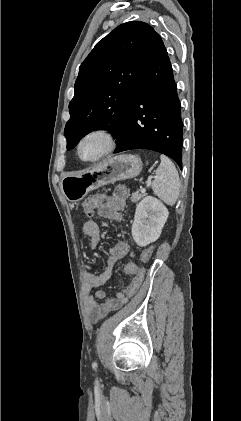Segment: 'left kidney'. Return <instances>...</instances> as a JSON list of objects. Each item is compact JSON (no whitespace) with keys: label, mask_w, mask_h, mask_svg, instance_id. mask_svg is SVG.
<instances>
[{"label":"left kidney","mask_w":241,"mask_h":421,"mask_svg":"<svg viewBox=\"0 0 241 421\" xmlns=\"http://www.w3.org/2000/svg\"><path fill=\"white\" fill-rule=\"evenodd\" d=\"M168 215L164 204L152 196L145 197L137 204L131 230L136 244L145 247L155 242L161 235Z\"/></svg>","instance_id":"5707ae66"}]
</instances>
